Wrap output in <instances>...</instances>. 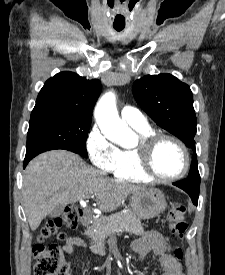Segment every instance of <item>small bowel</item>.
<instances>
[{
	"label": "small bowel",
	"mask_w": 225,
	"mask_h": 275,
	"mask_svg": "<svg viewBox=\"0 0 225 275\" xmlns=\"http://www.w3.org/2000/svg\"><path fill=\"white\" fill-rule=\"evenodd\" d=\"M86 246L83 239L72 236L67 238L62 251L72 255L76 248H84ZM132 250L140 257H145L148 253L153 252L159 257L163 268L161 275H185L180 263L168 254V247L164 236L156 231L145 232L132 244Z\"/></svg>",
	"instance_id": "c3829d8e"
}]
</instances>
